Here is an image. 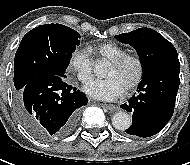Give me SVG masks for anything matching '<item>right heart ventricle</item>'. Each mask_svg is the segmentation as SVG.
<instances>
[{"label":"right heart ventricle","mask_w":190,"mask_h":165,"mask_svg":"<svg viewBox=\"0 0 190 165\" xmlns=\"http://www.w3.org/2000/svg\"><path fill=\"white\" fill-rule=\"evenodd\" d=\"M90 53L108 61L115 60L127 54L125 48L115 43H100L88 48Z\"/></svg>","instance_id":"e07e8e85"}]
</instances>
